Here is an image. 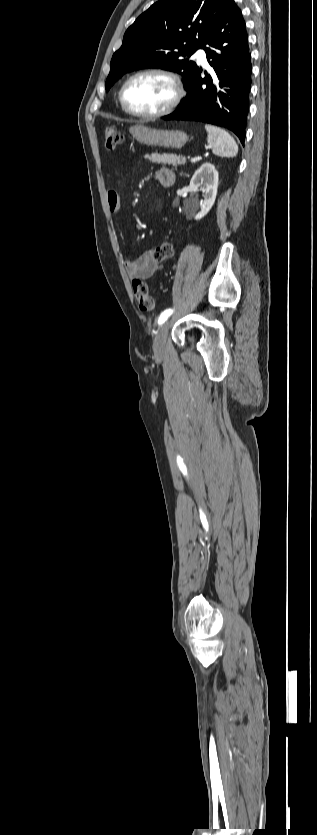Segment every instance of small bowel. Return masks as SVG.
Segmentation results:
<instances>
[{
  "label": "small bowel",
  "instance_id": "1",
  "mask_svg": "<svg viewBox=\"0 0 317 835\" xmlns=\"http://www.w3.org/2000/svg\"><path fill=\"white\" fill-rule=\"evenodd\" d=\"M156 181L164 186L169 187L174 184L176 180L175 172L167 167L159 168L155 172ZM107 205L112 213H118L121 208L120 196L116 190L107 191ZM126 272L130 279L147 280L150 279L157 271L163 268L159 264L150 251L144 252L136 259H127L124 261Z\"/></svg>",
  "mask_w": 317,
  "mask_h": 835
}]
</instances>
